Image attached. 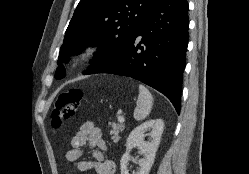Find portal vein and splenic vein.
<instances>
[{
  "mask_svg": "<svg viewBox=\"0 0 249 174\" xmlns=\"http://www.w3.org/2000/svg\"><path fill=\"white\" fill-rule=\"evenodd\" d=\"M118 121H119L120 123H124L125 119H124L123 116H118Z\"/></svg>",
  "mask_w": 249,
  "mask_h": 174,
  "instance_id": "1",
  "label": "portal vein and splenic vein"
}]
</instances>
